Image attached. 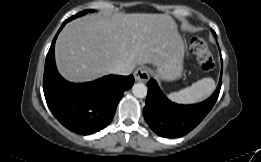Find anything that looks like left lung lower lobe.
Wrapping results in <instances>:
<instances>
[{
    "mask_svg": "<svg viewBox=\"0 0 261 162\" xmlns=\"http://www.w3.org/2000/svg\"><path fill=\"white\" fill-rule=\"evenodd\" d=\"M222 76V70H221ZM221 88V77L214 94L202 103L179 105L161 92L155 80L148 82V94L143 115L149 127L164 138H177L193 130L214 106Z\"/></svg>",
    "mask_w": 261,
    "mask_h": 162,
    "instance_id": "obj_1",
    "label": "left lung lower lobe"
}]
</instances>
